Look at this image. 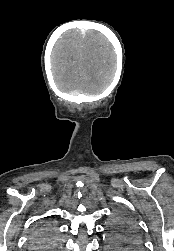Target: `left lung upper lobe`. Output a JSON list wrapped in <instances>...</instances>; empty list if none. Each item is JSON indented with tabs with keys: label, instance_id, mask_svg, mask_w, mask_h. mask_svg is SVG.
Returning <instances> with one entry per match:
<instances>
[{
	"label": "left lung upper lobe",
	"instance_id": "left-lung-upper-lobe-1",
	"mask_svg": "<svg viewBox=\"0 0 174 251\" xmlns=\"http://www.w3.org/2000/svg\"><path fill=\"white\" fill-rule=\"evenodd\" d=\"M110 231L111 242L115 245L125 242L135 247L140 245V235L136 224L123 212L116 214Z\"/></svg>",
	"mask_w": 174,
	"mask_h": 251
}]
</instances>
